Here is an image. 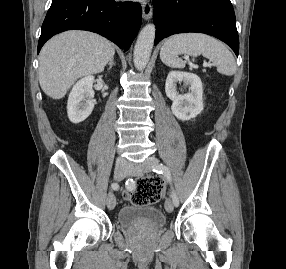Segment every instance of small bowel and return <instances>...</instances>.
Here are the masks:
<instances>
[{
  "label": "small bowel",
  "mask_w": 286,
  "mask_h": 269,
  "mask_svg": "<svg viewBox=\"0 0 286 269\" xmlns=\"http://www.w3.org/2000/svg\"><path fill=\"white\" fill-rule=\"evenodd\" d=\"M132 188H133V187H128L127 189H128V190H132Z\"/></svg>",
  "instance_id": "c3829d8e"
}]
</instances>
